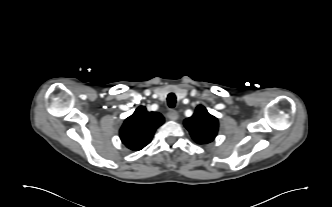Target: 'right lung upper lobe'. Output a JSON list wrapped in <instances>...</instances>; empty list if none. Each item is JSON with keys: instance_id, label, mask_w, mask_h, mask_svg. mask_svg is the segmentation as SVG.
I'll use <instances>...</instances> for the list:
<instances>
[{"instance_id": "obj_1", "label": "right lung upper lobe", "mask_w": 332, "mask_h": 207, "mask_svg": "<svg viewBox=\"0 0 332 207\" xmlns=\"http://www.w3.org/2000/svg\"><path fill=\"white\" fill-rule=\"evenodd\" d=\"M164 123V117L158 112H148L139 106L125 119L120 129V139L130 150L139 151L149 144L155 130Z\"/></svg>"}]
</instances>
